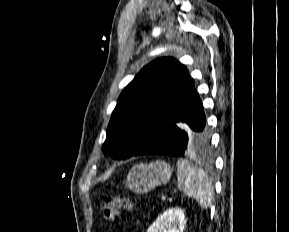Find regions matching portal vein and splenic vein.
<instances>
[{"instance_id":"1","label":"portal vein and splenic vein","mask_w":289,"mask_h":232,"mask_svg":"<svg viewBox=\"0 0 289 232\" xmlns=\"http://www.w3.org/2000/svg\"><path fill=\"white\" fill-rule=\"evenodd\" d=\"M167 198H168V197H167L166 195H163V196L161 197V201H166Z\"/></svg>"}]
</instances>
